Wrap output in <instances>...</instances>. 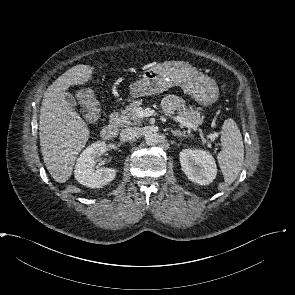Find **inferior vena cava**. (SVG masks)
<instances>
[{"mask_svg": "<svg viewBox=\"0 0 295 295\" xmlns=\"http://www.w3.org/2000/svg\"><path fill=\"white\" fill-rule=\"evenodd\" d=\"M141 131L138 127H129L120 133V137L124 141H132L140 135Z\"/></svg>", "mask_w": 295, "mask_h": 295, "instance_id": "602c4592", "label": "inferior vena cava"}]
</instances>
